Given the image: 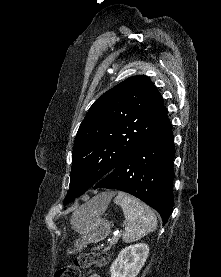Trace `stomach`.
<instances>
[{
  "instance_id": "stomach-1",
  "label": "stomach",
  "mask_w": 221,
  "mask_h": 277,
  "mask_svg": "<svg viewBox=\"0 0 221 277\" xmlns=\"http://www.w3.org/2000/svg\"><path fill=\"white\" fill-rule=\"evenodd\" d=\"M106 207L94 198L73 214V229L80 234V238L74 241V251H80L89 243L99 242L110 234L111 222L106 218Z\"/></svg>"
}]
</instances>
